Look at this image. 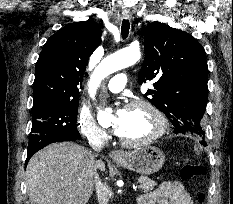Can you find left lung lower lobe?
<instances>
[{"label":"left lung lower lobe","instance_id":"1","mask_svg":"<svg viewBox=\"0 0 233 204\" xmlns=\"http://www.w3.org/2000/svg\"><path fill=\"white\" fill-rule=\"evenodd\" d=\"M204 146H206V142L204 140L201 141Z\"/></svg>","mask_w":233,"mask_h":204}]
</instances>
